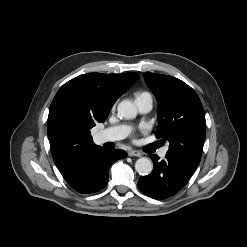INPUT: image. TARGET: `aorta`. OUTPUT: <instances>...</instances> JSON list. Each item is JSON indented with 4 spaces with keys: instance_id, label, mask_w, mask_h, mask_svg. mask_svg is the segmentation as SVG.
I'll return each instance as SVG.
<instances>
[{
    "instance_id": "obj_1",
    "label": "aorta",
    "mask_w": 247,
    "mask_h": 247,
    "mask_svg": "<svg viewBox=\"0 0 247 247\" xmlns=\"http://www.w3.org/2000/svg\"><path fill=\"white\" fill-rule=\"evenodd\" d=\"M118 114L125 119H133L137 115L136 106L129 100H123L118 104ZM135 170L140 175H148L153 170V163L149 158L141 157L135 163Z\"/></svg>"
}]
</instances>
